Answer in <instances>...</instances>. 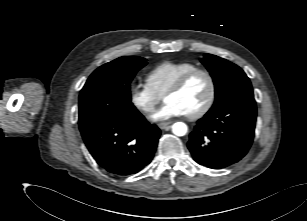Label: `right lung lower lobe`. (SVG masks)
<instances>
[{
  "label": "right lung lower lobe",
  "instance_id": "obj_1",
  "mask_svg": "<svg viewBox=\"0 0 307 221\" xmlns=\"http://www.w3.org/2000/svg\"><path fill=\"white\" fill-rule=\"evenodd\" d=\"M160 133L138 111L123 118L97 121L81 132L97 164L117 176L135 174L148 165Z\"/></svg>",
  "mask_w": 307,
  "mask_h": 221
}]
</instances>
